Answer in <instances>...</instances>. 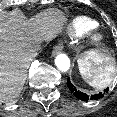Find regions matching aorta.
<instances>
[{"mask_svg":"<svg viewBox=\"0 0 117 117\" xmlns=\"http://www.w3.org/2000/svg\"><path fill=\"white\" fill-rule=\"evenodd\" d=\"M55 65L61 71H67L70 68V59L66 54H58L55 58Z\"/></svg>","mask_w":117,"mask_h":117,"instance_id":"1","label":"aorta"}]
</instances>
